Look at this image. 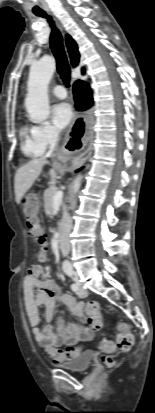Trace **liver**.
Masks as SVG:
<instances>
[{
    "label": "liver",
    "mask_w": 155,
    "mask_h": 413,
    "mask_svg": "<svg viewBox=\"0 0 155 413\" xmlns=\"http://www.w3.org/2000/svg\"><path fill=\"white\" fill-rule=\"evenodd\" d=\"M45 164H47L45 157L35 158L21 166L16 171L14 178V189L17 204H20L24 194L32 187L34 182L40 176Z\"/></svg>",
    "instance_id": "1"
}]
</instances>
